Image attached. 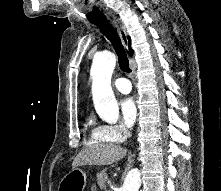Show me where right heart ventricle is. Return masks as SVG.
I'll return each instance as SVG.
<instances>
[{
    "label": "right heart ventricle",
    "instance_id": "right-heart-ventricle-1",
    "mask_svg": "<svg viewBox=\"0 0 221 191\" xmlns=\"http://www.w3.org/2000/svg\"><path fill=\"white\" fill-rule=\"evenodd\" d=\"M94 131H95V129L92 131V137L94 138ZM95 139V138H94ZM96 140H98V139H96ZM98 141H104V140H98Z\"/></svg>",
    "mask_w": 221,
    "mask_h": 191
}]
</instances>
